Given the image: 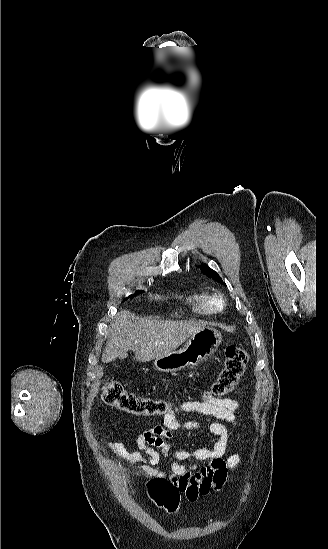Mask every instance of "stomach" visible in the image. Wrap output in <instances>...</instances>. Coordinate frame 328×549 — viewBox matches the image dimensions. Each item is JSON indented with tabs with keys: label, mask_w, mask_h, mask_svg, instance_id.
I'll list each match as a JSON object with an SVG mask.
<instances>
[{
	"label": "stomach",
	"mask_w": 328,
	"mask_h": 549,
	"mask_svg": "<svg viewBox=\"0 0 328 549\" xmlns=\"http://www.w3.org/2000/svg\"><path fill=\"white\" fill-rule=\"evenodd\" d=\"M221 341L222 335L219 331L213 327H203L190 337L183 349L168 353L164 357H158L155 359L154 365L157 371H163V373L194 369L204 361H208L216 353Z\"/></svg>",
	"instance_id": "stomach-1"
}]
</instances>
